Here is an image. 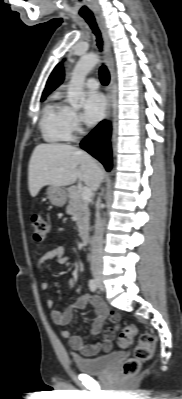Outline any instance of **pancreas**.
Masks as SVG:
<instances>
[{
	"label": "pancreas",
	"mask_w": 182,
	"mask_h": 399,
	"mask_svg": "<svg viewBox=\"0 0 182 399\" xmlns=\"http://www.w3.org/2000/svg\"><path fill=\"white\" fill-rule=\"evenodd\" d=\"M68 194L69 204L66 211L73 216V220L76 221L78 227L79 236L83 237L89 230V202L82 199L81 192L76 187L68 188Z\"/></svg>",
	"instance_id": "1"
}]
</instances>
